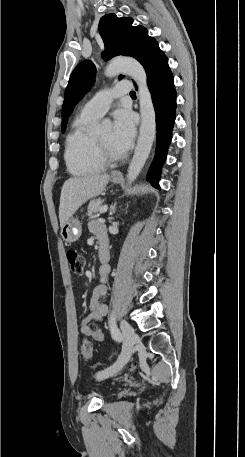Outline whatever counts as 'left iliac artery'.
Here are the masks:
<instances>
[{
	"instance_id": "1",
	"label": "left iliac artery",
	"mask_w": 245,
	"mask_h": 457,
	"mask_svg": "<svg viewBox=\"0 0 245 457\" xmlns=\"http://www.w3.org/2000/svg\"><path fill=\"white\" fill-rule=\"evenodd\" d=\"M109 328H110V331H111V334H112V337L116 340V341H121L122 340V336L116 326V322H115V312L114 310L111 312V315H110V319H109Z\"/></svg>"
}]
</instances>
